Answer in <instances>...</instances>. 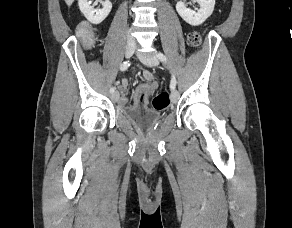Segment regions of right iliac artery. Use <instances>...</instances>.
Here are the masks:
<instances>
[{
	"mask_svg": "<svg viewBox=\"0 0 292 228\" xmlns=\"http://www.w3.org/2000/svg\"><path fill=\"white\" fill-rule=\"evenodd\" d=\"M130 66V63L129 61H124L121 66H120V70L121 71H125L126 69H128V67ZM115 91V88L114 87H111L110 88V92L113 93Z\"/></svg>",
	"mask_w": 292,
	"mask_h": 228,
	"instance_id": "obj_1",
	"label": "right iliac artery"
}]
</instances>
